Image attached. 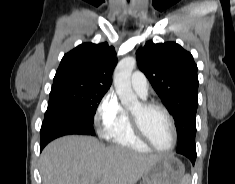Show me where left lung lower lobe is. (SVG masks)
Masks as SVG:
<instances>
[{
  "label": "left lung lower lobe",
  "mask_w": 235,
  "mask_h": 184,
  "mask_svg": "<svg viewBox=\"0 0 235 184\" xmlns=\"http://www.w3.org/2000/svg\"><path fill=\"white\" fill-rule=\"evenodd\" d=\"M179 154H182L186 157H188L192 164L194 165L195 164V160H196V152H190V151H182V152H177Z\"/></svg>",
  "instance_id": "1"
}]
</instances>
